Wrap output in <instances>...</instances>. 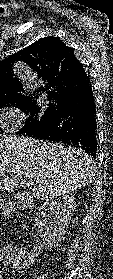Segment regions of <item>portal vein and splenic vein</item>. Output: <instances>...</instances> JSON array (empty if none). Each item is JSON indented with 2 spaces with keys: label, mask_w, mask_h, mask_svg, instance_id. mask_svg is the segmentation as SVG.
<instances>
[{
  "label": "portal vein and splenic vein",
  "mask_w": 113,
  "mask_h": 279,
  "mask_svg": "<svg viewBox=\"0 0 113 279\" xmlns=\"http://www.w3.org/2000/svg\"><path fill=\"white\" fill-rule=\"evenodd\" d=\"M21 182H22L23 184H26V185L29 186V182L26 180V178H22V179H21Z\"/></svg>",
  "instance_id": "obj_1"
}]
</instances>
